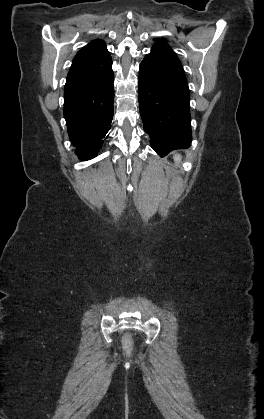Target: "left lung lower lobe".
<instances>
[{
  "label": "left lung lower lobe",
  "instance_id": "obj_1",
  "mask_svg": "<svg viewBox=\"0 0 264 419\" xmlns=\"http://www.w3.org/2000/svg\"><path fill=\"white\" fill-rule=\"evenodd\" d=\"M139 109L151 147L161 156L191 144L189 88L170 47L155 45L140 64Z\"/></svg>",
  "mask_w": 264,
  "mask_h": 419
}]
</instances>
